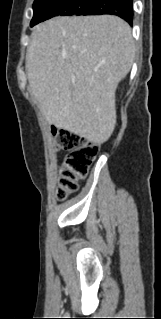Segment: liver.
Masks as SVG:
<instances>
[{"instance_id":"liver-1","label":"liver","mask_w":161,"mask_h":319,"mask_svg":"<svg viewBox=\"0 0 161 319\" xmlns=\"http://www.w3.org/2000/svg\"><path fill=\"white\" fill-rule=\"evenodd\" d=\"M135 57L130 26L112 15L37 25L26 55L29 86L46 121L102 144L115 123V92Z\"/></svg>"}]
</instances>
